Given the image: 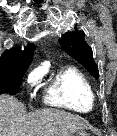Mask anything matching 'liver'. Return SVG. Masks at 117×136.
Instances as JSON below:
<instances>
[{
	"instance_id": "1",
	"label": "liver",
	"mask_w": 117,
	"mask_h": 136,
	"mask_svg": "<svg viewBox=\"0 0 117 136\" xmlns=\"http://www.w3.org/2000/svg\"><path fill=\"white\" fill-rule=\"evenodd\" d=\"M86 128L81 117L67 111L46 108L26 113L22 102L0 95V136H72Z\"/></svg>"
}]
</instances>
